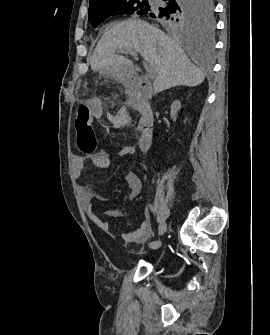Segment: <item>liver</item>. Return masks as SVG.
Here are the masks:
<instances>
[{"label": "liver", "mask_w": 270, "mask_h": 335, "mask_svg": "<svg viewBox=\"0 0 270 335\" xmlns=\"http://www.w3.org/2000/svg\"><path fill=\"white\" fill-rule=\"evenodd\" d=\"M118 50H135L153 66L157 76L154 92H162L174 86H199L204 82V74L186 56L180 40L164 34L159 28L144 20H124L112 26L99 40L90 60L91 70L96 72H115L126 76L132 62L122 64L123 56Z\"/></svg>", "instance_id": "obj_1"}]
</instances>
